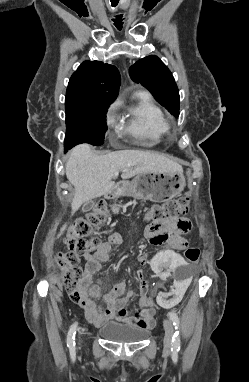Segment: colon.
I'll use <instances>...</instances> for the list:
<instances>
[{
	"label": "colon",
	"mask_w": 249,
	"mask_h": 382,
	"mask_svg": "<svg viewBox=\"0 0 249 382\" xmlns=\"http://www.w3.org/2000/svg\"><path fill=\"white\" fill-rule=\"evenodd\" d=\"M189 210V199L179 197L162 204L150 207L146 212V219L151 222H159L168 216L175 214H185ZM106 220V207L104 203H99L89 214L76 219L70 227V231L65 239L67 251L60 252L57 257V266L64 272L63 285L69 297L79 302L83 299L82 293L85 271L79 265L81 255L96 250L101 241L99 238L86 239L85 236L92 228L101 225ZM189 262L195 263L199 259L200 251L196 247H189L184 253ZM135 281L145 282L141 285V295L148 292L147 274L141 269L136 271Z\"/></svg>",
	"instance_id": "obj_1"
}]
</instances>
